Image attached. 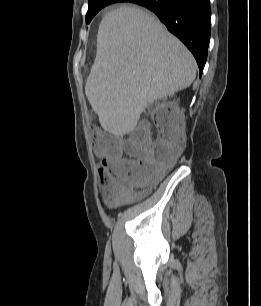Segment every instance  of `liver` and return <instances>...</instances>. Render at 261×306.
Listing matches in <instances>:
<instances>
[{"label": "liver", "instance_id": "1", "mask_svg": "<svg viewBox=\"0 0 261 306\" xmlns=\"http://www.w3.org/2000/svg\"><path fill=\"white\" fill-rule=\"evenodd\" d=\"M196 69L192 54L154 16L123 6L99 25L85 94L102 128L125 135L147 106L189 87Z\"/></svg>", "mask_w": 261, "mask_h": 306}]
</instances>
